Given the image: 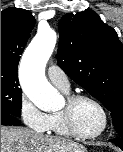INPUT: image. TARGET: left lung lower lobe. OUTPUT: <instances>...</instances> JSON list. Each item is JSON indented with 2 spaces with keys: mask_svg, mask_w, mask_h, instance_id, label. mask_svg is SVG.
Returning a JSON list of instances; mask_svg holds the SVG:
<instances>
[{
  "mask_svg": "<svg viewBox=\"0 0 123 152\" xmlns=\"http://www.w3.org/2000/svg\"><path fill=\"white\" fill-rule=\"evenodd\" d=\"M110 141L117 144L123 150V137H121L120 139H113Z\"/></svg>",
  "mask_w": 123,
  "mask_h": 152,
  "instance_id": "1",
  "label": "left lung lower lobe"
}]
</instances>
